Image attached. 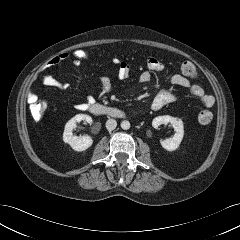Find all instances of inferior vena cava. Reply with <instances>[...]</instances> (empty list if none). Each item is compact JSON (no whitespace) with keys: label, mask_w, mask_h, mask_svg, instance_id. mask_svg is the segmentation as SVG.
<instances>
[{"label":"inferior vena cava","mask_w":240,"mask_h":240,"mask_svg":"<svg viewBox=\"0 0 240 240\" xmlns=\"http://www.w3.org/2000/svg\"><path fill=\"white\" fill-rule=\"evenodd\" d=\"M116 126H117V122H116L115 119H108L106 121V128H107V130L112 131V130H114L116 128Z\"/></svg>","instance_id":"inferior-vena-cava-1"}]
</instances>
